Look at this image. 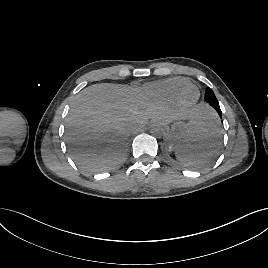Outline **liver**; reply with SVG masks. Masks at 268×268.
I'll return each mask as SVG.
<instances>
[{
	"label": "liver",
	"mask_w": 268,
	"mask_h": 268,
	"mask_svg": "<svg viewBox=\"0 0 268 268\" xmlns=\"http://www.w3.org/2000/svg\"><path fill=\"white\" fill-rule=\"evenodd\" d=\"M212 111L198 105L190 113L196 122ZM178 115L160 102L119 84H94L73 99L66 118V141L76 162L88 170L101 171L119 161L133 128L149 119L169 124Z\"/></svg>",
	"instance_id": "1"
}]
</instances>
